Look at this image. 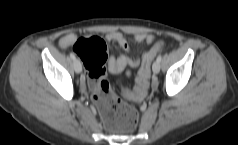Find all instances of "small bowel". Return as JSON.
<instances>
[{
  "label": "small bowel",
  "instance_id": "c3829d8e",
  "mask_svg": "<svg viewBox=\"0 0 238 145\" xmlns=\"http://www.w3.org/2000/svg\"><path fill=\"white\" fill-rule=\"evenodd\" d=\"M78 37L76 34H66L60 39V46L62 48H68L72 46L74 40ZM106 39L109 41L116 42L123 50L128 52L130 50L129 44L119 31H110L106 34ZM134 40L137 43H146L151 45L155 42V38L151 34L146 33H135ZM139 64V60H133L125 55H120L117 58H110L108 61V67L111 72L118 73L128 67H136Z\"/></svg>",
  "mask_w": 238,
  "mask_h": 145
}]
</instances>
